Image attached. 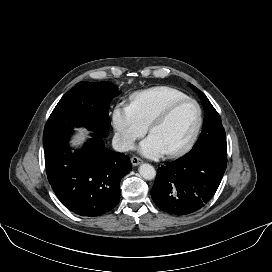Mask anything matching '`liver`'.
Masks as SVG:
<instances>
[{
  "label": "liver",
  "mask_w": 272,
  "mask_h": 272,
  "mask_svg": "<svg viewBox=\"0 0 272 272\" xmlns=\"http://www.w3.org/2000/svg\"><path fill=\"white\" fill-rule=\"evenodd\" d=\"M80 136H78V140L76 144H80L84 139L85 133H88L86 130H79Z\"/></svg>",
  "instance_id": "liver-1"
}]
</instances>
